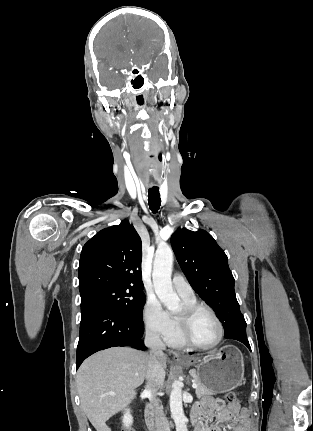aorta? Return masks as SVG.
Returning a JSON list of instances; mask_svg holds the SVG:
<instances>
[{
    "mask_svg": "<svg viewBox=\"0 0 313 431\" xmlns=\"http://www.w3.org/2000/svg\"><path fill=\"white\" fill-rule=\"evenodd\" d=\"M173 266V251L168 245L159 247L155 253L153 263V285L159 300L169 311H177L180 306V299L174 292L171 282ZM170 410L175 422L176 431H188L186 416L182 405V389L178 381L172 385L170 394Z\"/></svg>",
    "mask_w": 313,
    "mask_h": 431,
    "instance_id": "aorta-1",
    "label": "aorta"
}]
</instances>
